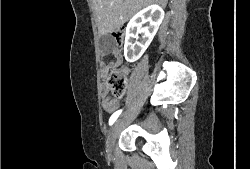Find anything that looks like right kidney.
I'll return each instance as SVG.
<instances>
[{"label": "right kidney", "mask_w": 250, "mask_h": 169, "mask_svg": "<svg viewBox=\"0 0 250 169\" xmlns=\"http://www.w3.org/2000/svg\"><path fill=\"white\" fill-rule=\"evenodd\" d=\"M163 18L164 10L159 4H150V6L142 8L132 16L126 26L124 44V56L128 62H134L142 56L153 36H155ZM145 22H148L147 26H142ZM138 34H142L140 40H138ZM133 38H136L135 42H133Z\"/></svg>", "instance_id": "1"}]
</instances>
